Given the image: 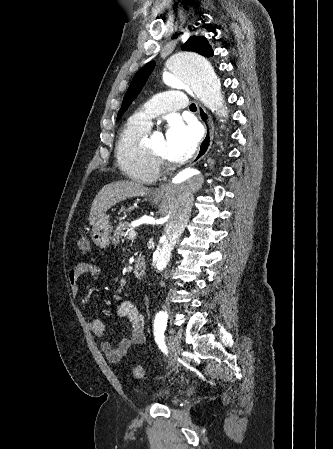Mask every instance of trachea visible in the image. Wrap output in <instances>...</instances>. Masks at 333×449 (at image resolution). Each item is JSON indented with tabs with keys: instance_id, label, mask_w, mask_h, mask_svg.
<instances>
[{
	"instance_id": "1",
	"label": "trachea",
	"mask_w": 333,
	"mask_h": 449,
	"mask_svg": "<svg viewBox=\"0 0 333 449\" xmlns=\"http://www.w3.org/2000/svg\"><path fill=\"white\" fill-rule=\"evenodd\" d=\"M196 109L197 108H196V105L194 103L190 105V110L195 111Z\"/></svg>"
}]
</instances>
